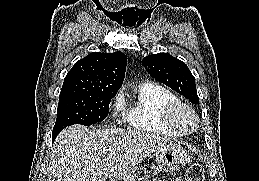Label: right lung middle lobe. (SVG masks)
Masks as SVG:
<instances>
[{
  "instance_id": "obj_1",
  "label": "right lung middle lobe",
  "mask_w": 259,
  "mask_h": 181,
  "mask_svg": "<svg viewBox=\"0 0 259 181\" xmlns=\"http://www.w3.org/2000/svg\"><path fill=\"white\" fill-rule=\"evenodd\" d=\"M116 93L61 90L52 137L73 124L92 125L103 121Z\"/></svg>"
}]
</instances>
